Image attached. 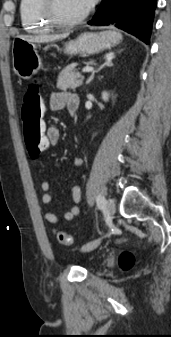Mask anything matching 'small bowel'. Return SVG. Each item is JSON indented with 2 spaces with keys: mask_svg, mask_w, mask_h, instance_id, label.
I'll list each match as a JSON object with an SVG mask.
<instances>
[{
  "mask_svg": "<svg viewBox=\"0 0 171 337\" xmlns=\"http://www.w3.org/2000/svg\"><path fill=\"white\" fill-rule=\"evenodd\" d=\"M71 104L79 105V98L77 95L68 93L65 91L54 92L49 97L48 109L51 112L60 111L64 108L68 110ZM46 138L49 141V144L55 146L58 144L60 140V130L56 126H48L46 127ZM72 165L76 168L82 167L84 165V159L81 156H75L72 159ZM41 189L44 191V194L41 197V200L44 204L51 203V195L48 193L50 188V183L48 180H42L40 183ZM82 198L81 189L77 184H74L71 187V199L74 203L73 206L67 210L63 217L65 220L70 221L74 219L80 213V208L77 205ZM45 219L48 223L52 225H56L58 223V217L54 212L48 211L45 214Z\"/></svg>",
  "mask_w": 171,
  "mask_h": 337,
  "instance_id": "1",
  "label": "small bowel"
}]
</instances>
